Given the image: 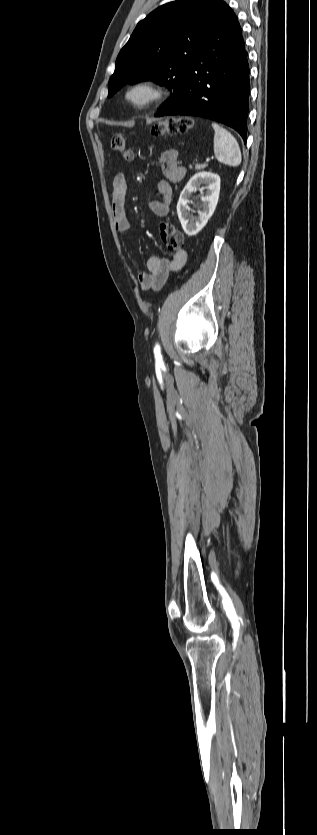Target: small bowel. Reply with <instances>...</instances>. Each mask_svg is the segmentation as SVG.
<instances>
[{
    "instance_id": "c3829d8e",
    "label": "small bowel",
    "mask_w": 317,
    "mask_h": 835,
    "mask_svg": "<svg viewBox=\"0 0 317 835\" xmlns=\"http://www.w3.org/2000/svg\"><path fill=\"white\" fill-rule=\"evenodd\" d=\"M164 178L158 182L159 200L149 203L150 210L158 217L168 214L173 196L172 185L179 183L186 169L178 162V153L174 149L164 151L160 157ZM127 181L124 173L115 175L112 181L111 214L115 229L120 233H127L130 223L125 211ZM187 252L177 251L172 258L152 256L147 261V271L138 275V282L143 290H159L165 283L169 273L181 269L187 261Z\"/></svg>"
}]
</instances>
